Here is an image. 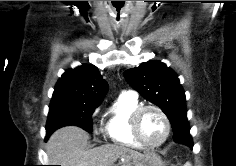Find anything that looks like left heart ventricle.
<instances>
[{"instance_id":"1","label":"left heart ventricle","mask_w":236,"mask_h":166,"mask_svg":"<svg viewBox=\"0 0 236 166\" xmlns=\"http://www.w3.org/2000/svg\"><path fill=\"white\" fill-rule=\"evenodd\" d=\"M140 133L147 143L159 142L165 133L162 117L154 110H147L140 120Z\"/></svg>"}]
</instances>
